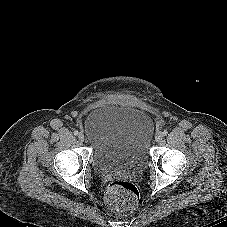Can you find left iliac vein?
Returning a JSON list of instances; mask_svg holds the SVG:
<instances>
[{
	"label": "left iliac vein",
	"instance_id": "obj_1",
	"mask_svg": "<svg viewBox=\"0 0 227 227\" xmlns=\"http://www.w3.org/2000/svg\"><path fill=\"white\" fill-rule=\"evenodd\" d=\"M162 139H163V133H161V132L156 133L155 141L156 142H161Z\"/></svg>",
	"mask_w": 227,
	"mask_h": 227
}]
</instances>
